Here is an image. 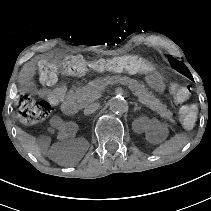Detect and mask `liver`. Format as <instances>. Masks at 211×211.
I'll use <instances>...</instances> for the list:
<instances>
[{"mask_svg": "<svg viewBox=\"0 0 211 211\" xmlns=\"http://www.w3.org/2000/svg\"><path fill=\"white\" fill-rule=\"evenodd\" d=\"M18 139L26 151L32 153L35 157L42 160L46 165H51V162L45 158L42 149L38 146L37 137L34 134L28 133L21 128L17 129Z\"/></svg>", "mask_w": 211, "mask_h": 211, "instance_id": "liver-1", "label": "liver"}]
</instances>
